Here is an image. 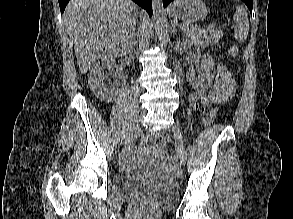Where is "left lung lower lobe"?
Here are the masks:
<instances>
[{"label": "left lung lower lobe", "mask_w": 293, "mask_h": 219, "mask_svg": "<svg viewBox=\"0 0 293 219\" xmlns=\"http://www.w3.org/2000/svg\"><path fill=\"white\" fill-rule=\"evenodd\" d=\"M173 0H163V6L166 7L170 2H172ZM247 7L249 8L251 14H252V0H242Z\"/></svg>", "instance_id": "1"}]
</instances>
